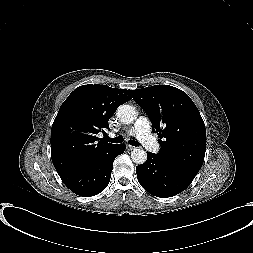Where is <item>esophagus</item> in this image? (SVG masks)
Wrapping results in <instances>:
<instances>
[{
  "instance_id": "1",
  "label": "esophagus",
  "mask_w": 253,
  "mask_h": 253,
  "mask_svg": "<svg viewBox=\"0 0 253 253\" xmlns=\"http://www.w3.org/2000/svg\"><path fill=\"white\" fill-rule=\"evenodd\" d=\"M127 149H128V150H134L135 147H134V146H131V145H127Z\"/></svg>"
}]
</instances>
